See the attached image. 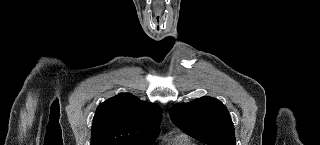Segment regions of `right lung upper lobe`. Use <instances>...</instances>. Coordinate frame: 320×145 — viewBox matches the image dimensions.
I'll list each match as a JSON object with an SVG mask.
<instances>
[{
	"instance_id": "1",
	"label": "right lung upper lobe",
	"mask_w": 320,
	"mask_h": 145,
	"mask_svg": "<svg viewBox=\"0 0 320 145\" xmlns=\"http://www.w3.org/2000/svg\"><path fill=\"white\" fill-rule=\"evenodd\" d=\"M160 106L120 94L101 103L92 123L91 145H149L158 136Z\"/></svg>"
}]
</instances>
